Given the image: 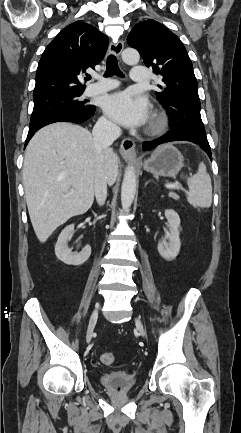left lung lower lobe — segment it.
Wrapping results in <instances>:
<instances>
[{"instance_id": "obj_1", "label": "left lung lower lobe", "mask_w": 241, "mask_h": 433, "mask_svg": "<svg viewBox=\"0 0 241 433\" xmlns=\"http://www.w3.org/2000/svg\"><path fill=\"white\" fill-rule=\"evenodd\" d=\"M170 141H189L192 143H195L197 145H199L202 149H204L206 151V153L208 154L209 158L212 159V155H211V150H210V146L209 143H205L202 142L194 137H191L190 135L184 134V133H178V132H169L165 135H163L162 137L153 140V141H149V142H143V149L144 150H150L160 144L166 143V142H170Z\"/></svg>"}]
</instances>
